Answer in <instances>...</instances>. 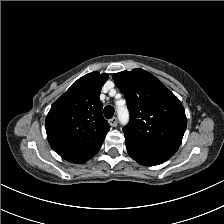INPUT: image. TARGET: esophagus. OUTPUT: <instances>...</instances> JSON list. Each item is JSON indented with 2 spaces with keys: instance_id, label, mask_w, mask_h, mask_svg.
<instances>
[{
  "instance_id": "obj_1",
  "label": "esophagus",
  "mask_w": 224,
  "mask_h": 224,
  "mask_svg": "<svg viewBox=\"0 0 224 224\" xmlns=\"http://www.w3.org/2000/svg\"><path fill=\"white\" fill-rule=\"evenodd\" d=\"M117 117H112L110 120H109V124L112 126V127H116L117 126Z\"/></svg>"
}]
</instances>
